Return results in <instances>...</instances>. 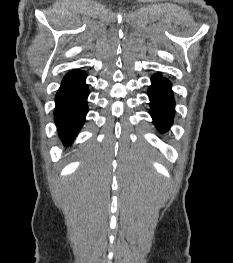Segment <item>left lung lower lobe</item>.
Wrapping results in <instances>:
<instances>
[{"instance_id": "obj_1", "label": "left lung lower lobe", "mask_w": 233, "mask_h": 263, "mask_svg": "<svg viewBox=\"0 0 233 263\" xmlns=\"http://www.w3.org/2000/svg\"><path fill=\"white\" fill-rule=\"evenodd\" d=\"M152 85L149 87L150 114L154 125L164 133L169 130L174 117V97L169 80L157 73L151 78Z\"/></svg>"}]
</instances>
